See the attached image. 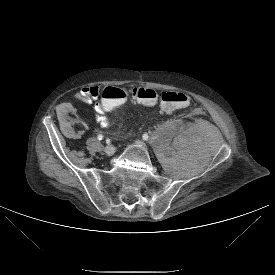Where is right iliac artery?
Segmentation results:
<instances>
[{
  "label": "right iliac artery",
  "instance_id": "obj_1",
  "mask_svg": "<svg viewBox=\"0 0 275 275\" xmlns=\"http://www.w3.org/2000/svg\"><path fill=\"white\" fill-rule=\"evenodd\" d=\"M97 138H98V140H102V139L104 138V136H103L102 134H99V135L97 136ZM107 143H109V140L107 141Z\"/></svg>",
  "mask_w": 275,
  "mask_h": 275
}]
</instances>
